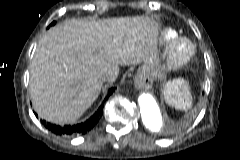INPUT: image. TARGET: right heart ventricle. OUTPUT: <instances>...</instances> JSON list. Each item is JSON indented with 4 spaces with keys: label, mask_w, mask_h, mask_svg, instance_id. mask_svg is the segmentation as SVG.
I'll list each match as a JSON object with an SVG mask.
<instances>
[{
    "label": "right heart ventricle",
    "mask_w": 240,
    "mask_h": 160,
    "mask_svg": "<svg viewBox=\"0 0 240 160\" xmlns=\"http://www.w3.org/2000/svg\"><path fill=\"white\" fill-rule=\"evenodd\" d=\"M177 36V32L171 28H165L161 33V41L167 43Z\"/></svg>",
    "instance_id": "1"
}]
</instances>
